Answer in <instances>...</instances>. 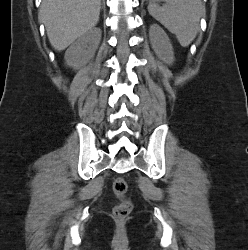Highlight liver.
I'll return each instance as SVG.
<instances>
[{
  "label": "liver",
  "instance_id": "liver-1",
  "mask_svg": "<svg viewBox=\"0 0 248 250\" xmlns=\"http://www.w3.org/2000/svg\"><path fill=\"white\" fill-rule=\"evenodd\" d=\"M101 0H43L40 18L50 44L62 51L99 21Z\"/></svg>",
  "mask_w": 248,
  "mask_h": 250
}]
</instances>
